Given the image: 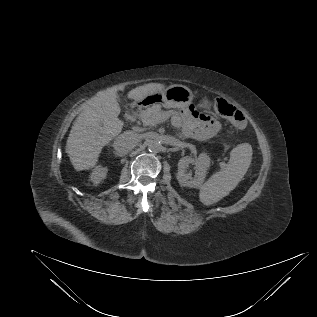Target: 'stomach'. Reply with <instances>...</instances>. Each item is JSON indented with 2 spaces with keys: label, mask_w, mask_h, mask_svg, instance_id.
I'll use <instances>...</instances> for the list:
<instances>
[{
  "label": "stomach",
  "mask_w": 317,
  "mask_h": 317,
  "mask_svg": "<svg viewBox=\"0 0 317 317\" xmlns=\"http://www.w3.org/2000/svg\"><path fill=\"white\" fill-rule=\"evenodd\" d=\"M192 91L183 85H171L161 92H156L146 96L141 100L144 106L160 105L165 108L183 109L188 107L193 100ZM201 107L210 109L211 102L207 98H203Z\"/></svg>",
  "instance_id": "stomach-1"
}]
</instances>
